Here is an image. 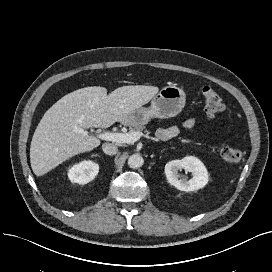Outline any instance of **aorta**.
Instances as JSON below:
<instances>
[{"instance_id": "aorta-1", "label": "aorta", "mask_w": 272, "mask_h": 272, "mask_svg": "<svg viewBox=\"0 0 272 272\" xmlns=\"http://www.w3.org/2000/svg\"><path fill=\"white\" fill-rule=\"evenodd\" d=\"M144 160L140 154H132L128 159V165L130 168L137 169L141 167Z\"/></svg>"}]
</instances>
